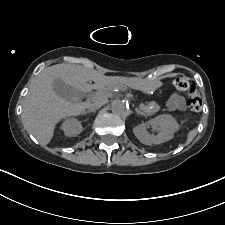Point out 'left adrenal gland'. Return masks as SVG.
<instances>
[{
    "instance_id": "obj_1",
    "label": "left adrenal gland",
    "mask_w": 225,
    "mask_h": 225,
    "mask_svg": "<svg viewBox=\"0 0 225 225\" xmlns=\"http://www.w3.org/2000/svg\"><path fill=\"white\" fill-rule=\"evenodd\" d=\"M136 112H137L138 115L144 116V113L142 111H140L139 109H137V108H136Z\"/></svg>"
}]
</instances>
